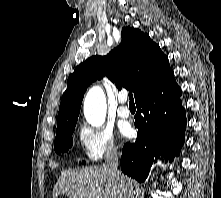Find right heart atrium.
<instances>
[{
    "instance_id": "right-heart-atrium-1",
    "label": "right heart atrium",
    "mask_w": 221,
    "mask_h": 198,
    "mask_svg": "<svg viewBox=\"0 0 221 198\" xmlns=\"http://www.w3.org/2000/svg\"><path fill=\"white\" fill-rule=\"evenodd\" d=\"M78 138L85 157L90 162L114 157L119 152L113 133L109 129L83 125L78 132Z\"/></svg>"
}]
</instances>
